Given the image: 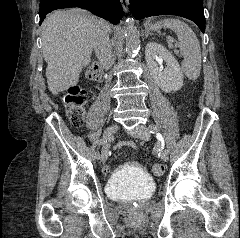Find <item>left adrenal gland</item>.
<instances>
[{
  "mask_svg": "<svg viewBox=\"0 0 240 238\" xmlns=\"http://www.w3.org/2000/svg\"><path fill=\"white\" fill-rule=\"evenodd\" d=\"M149 35H152L149 31L145 32V38H147Z\"/></svg>",
  "mask_w": 240,
  "mask_h": 238,
  "instance_id": "a2214340",
  "label": "left adrenal gland"
}]
</instances>
